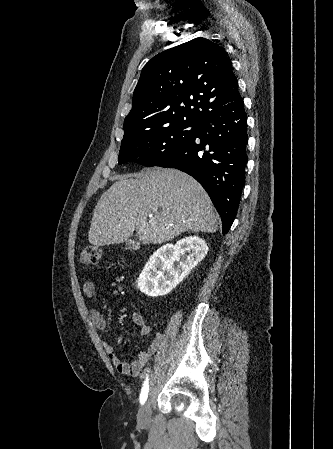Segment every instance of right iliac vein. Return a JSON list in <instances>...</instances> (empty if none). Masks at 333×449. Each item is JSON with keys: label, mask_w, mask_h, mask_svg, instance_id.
<instances>
[{"label": "right iliac vein", "mask_w": 333, "mask_h": 449, "mask_svg": "<svg viewBox=\"0 0 333 449\" xmlns=\"http://www.w3.org/2000/svg\"><path fill=\"white\" fill-rule=\"evenodd\" d=\"M151 420V404L148 400L139 410L138 413V424L140 426H146Z\"/></svg>", "instance_id": "obj_1"}]
</instances>
